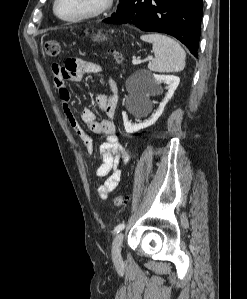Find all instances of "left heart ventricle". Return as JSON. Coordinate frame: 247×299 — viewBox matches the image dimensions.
Returning <instances> with one entry per match:
<instances>
[{
  "instance_id": "left-heart-ventricle-1",
  "label": "left heart ventricle",
  "mask_w": 247,
  "mask_h": 299,
  "mask_svg": "<svg viewBox=\"0 0 247 299\" xmlns=\"http://www.w3.org/2000/svg\"><path fill=\"white\" fill-rule=\"evenodd\" d=\"M100 0H60L57 10L63 17H75L92 10Z\"/></svg>"
}]
</instances>
